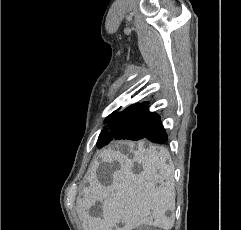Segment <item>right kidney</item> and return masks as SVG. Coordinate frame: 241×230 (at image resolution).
<instances>
[{
	"label": "right kidney",
	"instance_id": "obj_1",
	"mask_svg": "<svg viewBox=\"0 0 241 230\" xmlns=\"http://www.w3.org/2000/svg\"><path fill=\"white\" fill-rule=\"evenodd\" d=\"M167 193H168V195H171V194H172V192H171L170 190H169Z\"/></svg>",
	"mask_w": 241,
	"mask_h": 230
}]
</instances>
